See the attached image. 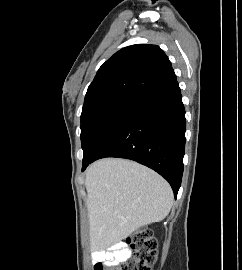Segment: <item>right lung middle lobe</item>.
<instances>
[{
	"mask_svg": "<svg viewBox=\"0 0 242 270\" xmlns=\"http://www.w3.org/2000/svg\"><path fill=\"white\" fill-rule=\"evenodd\" d=\"M136 104L125 100L114 101L82 112L80 138L83 162L96 154Z\"/></svg>",
	"mask_w": 242,
	"mask_h": 270,
	"instance_id": "obj_1",
	"label": "right lung middle lobe"
}]
</instances>
